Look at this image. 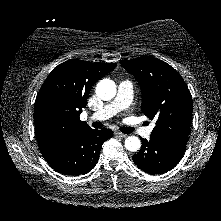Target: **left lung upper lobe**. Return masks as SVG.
<instances>
[{
    "instance_id": "5c2ea615",
    "label": "left lung upper lobe",
    "mask_w": 221,
    "mask_h": 221,
    "mask_svg": "<svg viewBox=\"0 0 221 221\" xmlns=\"http://www.w3.org/2000/svg\"><path fill=\"white\" fill-rule=\"evenodd\" d=\"M120 63L141 86L142 113L156 120L150 138L185 147L192 118V97L180 74L169 64L150 56Z\"/></svg>"
}]
</instances>
